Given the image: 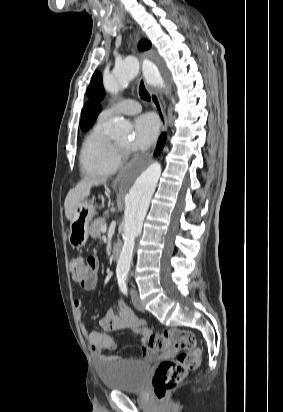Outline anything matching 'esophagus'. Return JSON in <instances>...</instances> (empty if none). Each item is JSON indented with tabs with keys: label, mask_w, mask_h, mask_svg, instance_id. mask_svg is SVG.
Segmentation results:
<instances>
[{
	"label": "esophagus",
	"mask_w": 283,
	"mask_h": 412,
	"mask_svg": "<svg viewBox=\"0 0 283 412\" xmlns=\"http://www.w3.org/2000/svg\"><path fill=\"white\" fill-rule=\"evenodd\" d=\"M146 88L148 89V92L150 93L153 106L156 109L157 114L159 116L160 124H161V132H166L167 131V118H166L164 109L161 104V95L160 93L150 89L147 85H146ZM122 176H123V173H119L114 179L113 184L116 185L117 183H119Z\"/></svg>",
	"instance_id": "obj_1"
}]
</instances>
